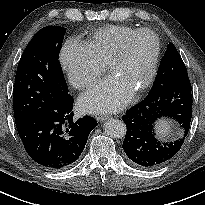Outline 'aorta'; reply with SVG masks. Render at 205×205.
Masks as SVG:
<instances>
[{"label": "aorta", "mask_w": 205, "mask_h": 205, "mask_svg": "<svg viewBox=\"0 0 205 205\" xmlns=\"http://www.w3.org/2000/svg\"><path fill=\"white\" fill-rule=\"evenodd\" d=\"M104 132L112 138H123L126 134V125L119 119H110L104 123Z\"/></svg>", "instance_id": "obj_1"}]
</instances>
